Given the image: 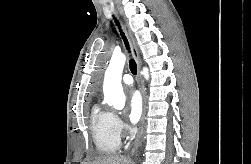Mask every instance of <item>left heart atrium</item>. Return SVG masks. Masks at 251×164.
<instances>
[{
    "label": "left heart atrium",
    "instance_id": "39dd6f15",
    "mask_svg": "<svg viewBox=\"0 0 251 164\" xmlns=\"http://www.w3.org/2000/svg\"><path fill=\"white\" fill-rule=\"evenodd\" d=\"M142 114V100L137 91H130L128 94V118L131 123H136Z\"/></svg>",
    "mask_w": 251,
    "mask_h": 164
}]
</instances>
